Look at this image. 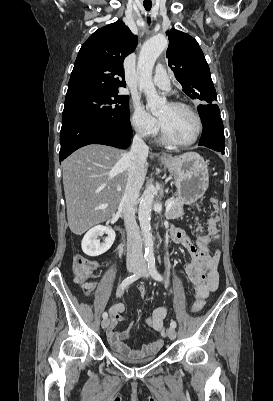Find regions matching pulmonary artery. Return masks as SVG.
<instances>
[{"mask_svg":"<svg viewBox=\"0 0 273 401\" xmlns=\"http://www.w3.org/2000/svg\"><path fill=\"white\" fill-rule=\"evenodd\" d=\"M155 74V80L157 81L156 86L158 89L171 88L172 83L169 81L168 70L166 68H163L161 64H158L156 66Z\"/></svg>","mask_w":273,"mask_h":401,"instance_id":"e3ab8cb5","label":"pulmonary artery"}]
</instances>
